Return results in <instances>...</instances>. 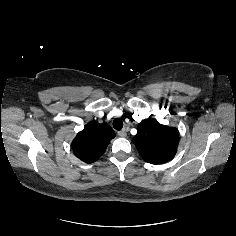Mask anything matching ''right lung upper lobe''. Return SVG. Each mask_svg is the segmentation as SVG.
I'll use <instances>...</instances> for the list:
<instances>
[{"label": "right lung upper lobe", "instance_id": "obj_1", "mask_svg": "<svg viewBox=\"0 0 236 236\" xmlns=\"http://www.w3.org/2000/svg\"><path fill=\"white\" fill-rule=\"evenodd\" d=\"M114 137L115 132L108 124L91 121L76 135L72 149L80 160L93 163L105 152Z\"/></svg>", "mask_w": 236, "mask_h": 236}]
</instances>
